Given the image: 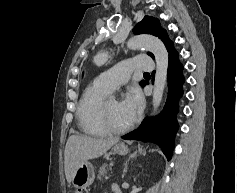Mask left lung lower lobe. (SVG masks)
<instances>
[{
  "instance_id": "obj_1",
  "label": "left lung lower lobe",
  "mask_w": 237,
  "mask_h": 193,
  "mask_svg": "<svg viewBox=\"0 0 237 193\" xmlns=\"http://www.w3.org/2000/svg\"><path fill=\"white\" fill-rule=\"evenodd\" d=\"M167 51L169 54L168 97L162 112L151 120L146 118L137 130L122 136V138L155 143L160 146L167 159L170 160L174 146V136L178 130L176 120L178 100L183 95L182 85L185 78L182 74L183 66L178 59V52L175 50L173 42L167 48ZM146 84L145 82L144 85Z\"/></svg>"
}]
</instances>
